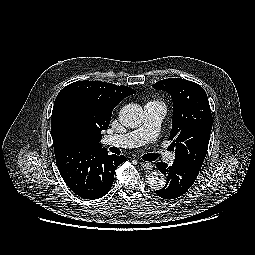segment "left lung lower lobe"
Segmentation results:
<instances>
[{
    "instance_id": "left-lung-lower-lobe-1",
    "label": "left lung lower lobe",
    "mask_w": 255,
    "mask_h": 255,
    "mask_svg": "<svg viewBox=\"0 0 255 255\" xmlns=\"http://www.w3.org/2000/svg\"><path fill=\"white\" fill-rule=\"evenodd\" d=\"M156 167L167 177L165 187L156 191V194L163 199H175L186 193L200 171L191 164L177 160L172 166L157 162Z\"/></svg>"
}]
</instances>
